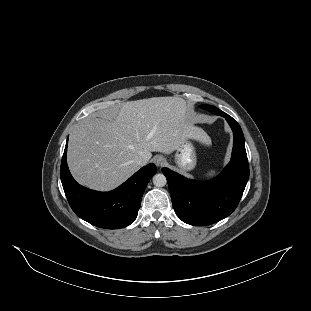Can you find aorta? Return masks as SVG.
Listing matches in <instances>:
<instances>
[{
  "label": "aorta",
  "instance_id": "obj_1",
  "mask_svg": "<svg viewBox=\"0 0 311 311\" xmlns=\"http://www.w3.org/2000/svg\"><path fill=\"white\" fill-rule=\"evenodd\" d=\"M152 181H153V184L156 186V187H163L166 185L167 183V179L165 177L164 174H155L152 178Z\"/></svg>",
  "mask_w": 311,
  "mask_h": 311
}]
</instances>
